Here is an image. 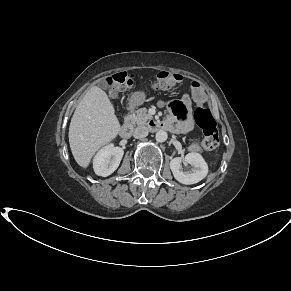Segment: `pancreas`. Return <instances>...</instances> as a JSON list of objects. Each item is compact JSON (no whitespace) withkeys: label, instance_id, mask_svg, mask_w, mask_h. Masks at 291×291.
Masks as SVG:
<instances>
[{"label":"pancreas","instance_id":"obj_1","mask_svg":"<svg viewBox=\"0 0 291 291\" xmlns=\"http://www.w3.org/2000/svg\"><path fill=\"white\" fill-rule=\"evenodd\" d=\"M151 116L147 113L146 108H141L136 110L133 114L130 115L131 122L137 125L147 124V121Z\"/></svg>","mask_w":291,"mask_h":291}]
</instances>
